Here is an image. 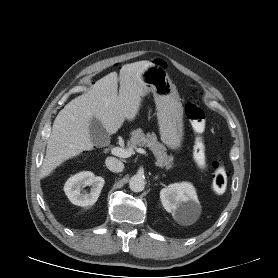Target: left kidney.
Wrapping results in <instances>:
<instances>
[{
    "label": "left kidney",
    "mask_w": 278,
    "mask_h": 278,
    "mask_svg": "<svg viewBox=\"0 0 278 278\" xmlns=\"http://www.w3.org/2000/svg\"><path fill=\"white\" fill-rule=\"evenodd\" d=\"M165 210L180 224L194 223L201 211L194 186L189 182L170 184L160 192Z\"/></svg>",
    "instance_id": "5707ae66"
}]
</instances>
